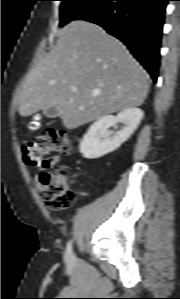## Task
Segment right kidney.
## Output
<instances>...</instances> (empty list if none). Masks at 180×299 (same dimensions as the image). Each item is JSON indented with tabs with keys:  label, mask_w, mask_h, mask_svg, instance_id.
<instances>
[{
	"label": "right kidney",
	"mask_w": 180,
	"mask_h": 299,
	"mask_svg": "<svg viewBox=\"0 0 180 299\" xmlns=\"http://www.w3.org/2000/svg\"><path fill=\"white\" fill-rule=\"evenodd\" d=\"M143 115L141 109L133 107L121 111L117 116L100 117L84 135L79 146L80 153L87 159H96L116 150L133 134ZM119 122L124 123L121 130L114 133L109 131Z\"/></svg>",
	"instance_id": "right-kidney-1"
}]
</instances>
